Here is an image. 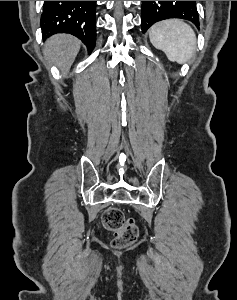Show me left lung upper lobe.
<instances>
[{
  "instance_id": "left-lung-upper-lobe-1",
  "label": "left lung upper lobe",
  "mask_w": 237,
  "mask_h": 300,
  "mask_svg": "<svg viewBox=\"0 0 237 300\" xmlns=\"http://www.w3.org/2000/svg\"><path fill=\"white\" fill-rule=\"evenodd\" d=\"M197 13L191 9L177 6L171 1H142V32H145L155 22L168 18L186 19L198 25Z\"/></svg>"
}]
</instances>
